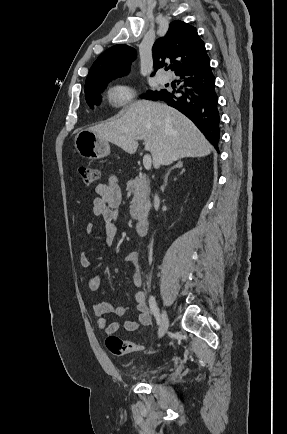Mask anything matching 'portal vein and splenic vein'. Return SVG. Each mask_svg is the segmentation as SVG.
Instances as JSON below:
<instances>
[{
	"label": "portal vein and splenic vein",
	"mask_w": 287,
	"mask_h": 434,
	"mask_svg": "<svg viewBox=\"0 0 287 434\" xmlns=\"http://www.w3.org/2000/svg\"><path fill=\"white\" fill-rule=\"evenodd\" d=\"M137 139L141 140L142 138L137 137ZM152 164V159L149 154H145L143 157V165L146 170H150Z\"/></svg>",
	"instance_id": "obj_1"
}]
</instances>
